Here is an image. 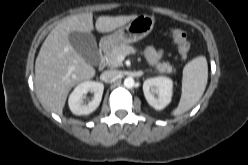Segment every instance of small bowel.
Returning a JSON list of instances; mask_svg holds the SVG:
<instances>
[{"label": "small bowel", "instance_id": "small-bowel-1", "mask_svg": "<svg viewBox=\"0 0 248 165\" xmlns=\"http://www.w3.org/2000/svg\"><path fill=\"white\" fill-rule=\"evenodd\" d=\"M144 53L150 63L155 64L161 57V52L157 51L155 48L148 46L145 48Z\"/></svg>", "mask_w": 248, "mask_h": 165}]
</instances>
